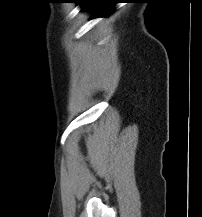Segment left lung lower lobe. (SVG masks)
<instances>
[{
  "label": "left lung lower lobe",
  "instance_id": "left-lung-lower-lobe-1",
  "mask_svg": "<svg viewBox=\"0 0 202 217\" xmlns=\"http://www.w3.org/2000/svg\"><path fill=\"white\" fill-rule=\"evenodd\" d=\"M75 3L84 4L82 9H94V17H105L113 11L111 6L118 3V0H76Z\"/></svg>",
  "mask_w": 202,
  "mask_h": 217
}]
</instances>
